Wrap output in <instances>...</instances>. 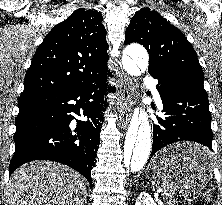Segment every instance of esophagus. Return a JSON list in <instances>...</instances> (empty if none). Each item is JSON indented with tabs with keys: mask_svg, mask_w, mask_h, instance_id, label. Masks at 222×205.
I'll list each match as a JSON object with an SVG mask.
<instances>
[{
	"mask_svg": "<svg viewBox=\"0 0 222 205\" xmlns=\"http://www.w3.org/2000/svg\"><path fill=\"white\" fill-rule=\"evenodd\" d=\"M132 95V80L124 75L118 82L117 109L120 114V121L123 128L128 125L130 117L129 102Z\"/></svg>",
	"mask_w": 222,
	"mask_h": 205,
	"instance_id": "34e87169",
	"label": "esophagus"
}]
</instances>
